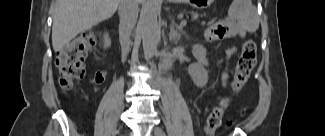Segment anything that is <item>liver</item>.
<instances>
[{"instance_id": "1", "label": "liver", "mask_w": 325, "mask_h": 136, "mask_svg": "<svg viewBox=\"0 0 325 136\" xmlns=\"http://www.w3.org/2000/svg\"><path fill=\"white\" fill-rule=\"evenodd\" d=\"M121 0H56L53 14L52 45L61 51L79 33L110 18Z\"/></svg>"}]
</instances>
